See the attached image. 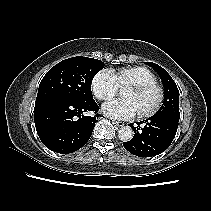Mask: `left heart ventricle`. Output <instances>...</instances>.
Segmentation results:
<instances>
[{
  "label": "left heart ventricle",
  "mask_w": 211,
  "mask_h": 211,
  "mask_svg": "<svg viewBox=\"0 0 211 211\" xmlns=\"http://www.w3.org/2000/svg\"><path fill=\"white\" fill-rule=\"evenodd\" d=\"M123 97L125 99L132 100L135 103L138 112H143L147 111L153 106L157 99V92L154 89L148 90L146 92H139L131 87H128L124 91Z\"/></svg>",
  "instance_id": "1"
}]
</instances>
